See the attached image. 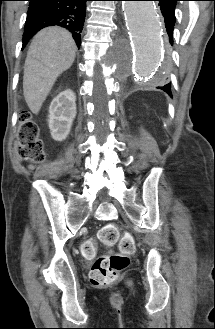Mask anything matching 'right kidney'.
I'll use <instances>...</instances> for the list:
<instances>
[{"label": "right kidney", "instance_id": "right-kidney-1", "mask_svg": "<svg viewBox=\"0 0 215 329\" xmlns=\"http://www.w3.org/2000/svg\"><path fill=\"white\" fill-rule=\"evenodd\" d=\"M75 101V93L70 89L59 93L52 100L49 107L48 125L54 140L63 141L67 138L76 116Z\"/></svg>", "mask_w": 215, "mask_h": 329}]
</instances>
